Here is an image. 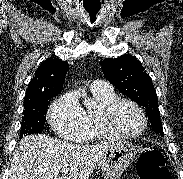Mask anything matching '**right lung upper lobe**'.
<instances>
[{
  "label": "right lung upper lobe",
  "instance_id": "right-lung-upper-lobe-1",
  "mask_svg": "<svg viewBox=\"0 0 183 179\" xmlns=\"http://www.w3.org/2000/svg\"><path fill=\"white\" fill-rule=\"evenodd\" d=\"M68 63L59 58L45 60L31 79L25 95L24 105L56 96L63 89Z\"/></svg>",
  "mask_w": 183,
  "mask_h": 179
}]
</instances>
